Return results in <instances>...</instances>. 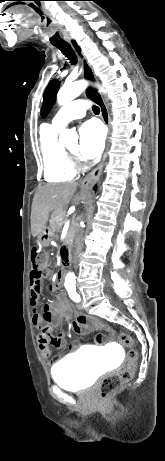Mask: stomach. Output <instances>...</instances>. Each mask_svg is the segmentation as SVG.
Returning <instances> with one entry per match:
<instances>
[{"instance_id": "stomach-1", "label": "stomach", "mask_w": 165, "mask_h": 461, "mask_svg": "<svg viewBox=\"0 0 165 461\" xmlns=\"http://www.w3.org/2000/svg\"><path fill=\"white\" fill-rule=\"evenodd\" d=\"M54 235V231L49 226H45L42 232L38 236V241L41 246L47 247L50 244Z\"/></svg>"}]
</instances>
